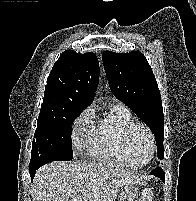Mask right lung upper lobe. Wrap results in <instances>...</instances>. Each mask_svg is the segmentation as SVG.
<instances>
[{
  "instance_id": "1",
  "label": "right lung upper lobe",
  "mask_w": 196,
  "mask_h": 201,
  "mask_svg": "<svg viewBox=\"0 0 196 201\" xmlns=\"http://www.w3.org/2000/svg\"><path fill=\"white\" fill-rule=\"evenodd\" d=\"M98 76L95 54L64 51L47 79L40 114L85 109L94 99Z\"/></svg>"
}]
</instances>
